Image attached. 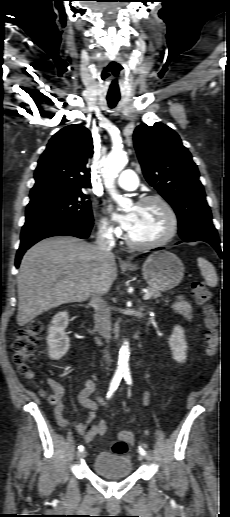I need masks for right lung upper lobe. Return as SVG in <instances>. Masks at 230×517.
<instances>
[{
  "instance_id": "cb5924a9",
  "label": "right lung upper lobe",
  "mask_w": 230,
  "mask_h": 517,
  "mask_svg": "<svg viewBox=\"0 0 230 517\" xmlns=\"http://www.w3.org/2000/svg\"><path fill=\"white\" fill-rule=\"evenodd\" d=\"M92 154V137L87 128L75 124L58 131L38 161L30 199L88 187Z\"/></svg>"
}]
</instances>
